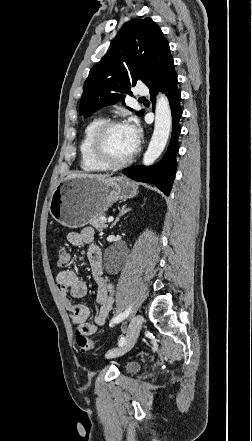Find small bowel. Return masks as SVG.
I'll return each instance as SVG.
<instances>
[{"label":"small bowel","mask_w":252,"mask_h":441,"mask_svg":"<svg viewBox=\"0 0 252 441\" xmlns=\"http://www.w3.org/2000/svg\"><path fill=\"white\" fill-rule=\"evenodd\" d=\"M95 231L91 227L83 228L80 232H70L68 242L73 246H88L87 257L92 276L97 284L96 303L98 311L92 323L88 322L89 308L74 299L82 298L87 293V285L78 274L70 269L61 270L56 276L58 291L64 307L69 312L73 324L85 335H92L98 326L105 324L114 303V286L104 275L102 252L94 243Z\"/></svg>","instance_id":"obj_1"}]
</instances>
